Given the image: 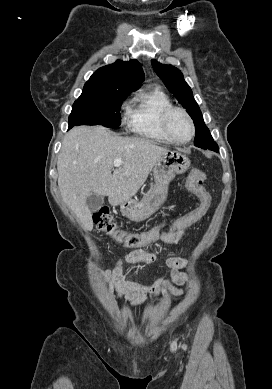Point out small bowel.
<instances>
[{
    "label": "small bowel",
    "mask_w": 272,
    "mask_h": 389,
    "mask_svg": "<svg viewBox=\"0 0 272 389\" xmlns=\"http://www.w3.org/2000/svg\"><path fill=\"white\" fill-rule=\"evenodd\" d=\"M164 223L162 222L160 225ZM184 233L185 231L163 234L160 240L165 243L176 244L183 238ZM155 260L154 254L142 250L128 252L123 259H118L111 268L103 271L106 289L135 308H140L151 297H159L164 294L167 298L178 299L182 295L181 286L186 281V277L182 272L184 265L182 258H170L166 261L167 266L172 271L173 282L166 280L164 277L158 278L152 284L124 280L122 274L124 261L127 263L144 262L151 264Z\"/></svg>",
    "instance_id": "obj_1"
}]
</instances>
